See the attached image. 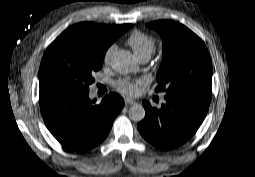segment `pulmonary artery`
I'll return each instance as SVG.
<instances>
[{
	"mask_svg": "<svg viewBox=\"0 0 255 177\" xmlns=\"http://www.w3.org/2000/svg\"><path fill=\"white\" fill-rule=\"evenodd\" d=\"M149 58H150V57H143L140 61H141L143 64H145V63L148 62Z\"/></svg>",
	"mask_w": 255,
	"mask_h": 177,
	"instance_id": "obj_1",
	"label": "pulmonary artery"
}]
</instances>
